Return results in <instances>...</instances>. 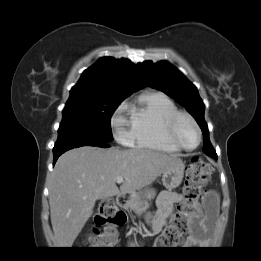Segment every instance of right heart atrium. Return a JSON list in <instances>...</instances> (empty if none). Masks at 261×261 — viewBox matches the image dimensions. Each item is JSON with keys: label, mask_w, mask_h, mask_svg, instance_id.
<instances>
[{"label": "right heart atrium", "mask_w": 261, "mask_h": 261, "mask_svg": "<svg viewBox=\"0 0 261 261\" xmlns=\"http://www.w3.org/2000/svg\"><path fill=\"white\" fill-rule=\"evenodd\" d=\"M124 109V106L120 108V111ZM127 124L124 116L120 114V112L113 119V126L116 130V138L118 141L122 143H129V133L125 129V125Z\"/></svg>", "instance_id": "1"}]
</instances>
